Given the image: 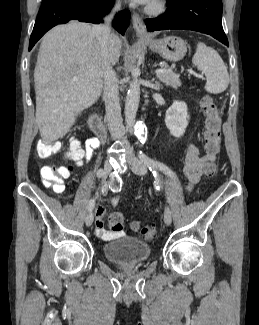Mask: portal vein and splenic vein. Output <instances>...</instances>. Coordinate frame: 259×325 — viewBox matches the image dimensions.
<instances>
[{
  "label": "portal vein and splenic vein",
  "instance_id": "18ae733b",
  "mask_svg": "<svg viewBox=\"0 0 259 325\" xmlns=\"http://www.w3.org/2000/svg\"><path fill=\"white\" fill-rule=\"evenodd\" d=\"M164 72H165V70L162 69V68H159V69H156V70H155V73H156V74H161V73H164ZM74 80H76V79H74Z\"/></svg>",
  "mask_w": 259,
  "mask_h": 325
}]
</instances>
